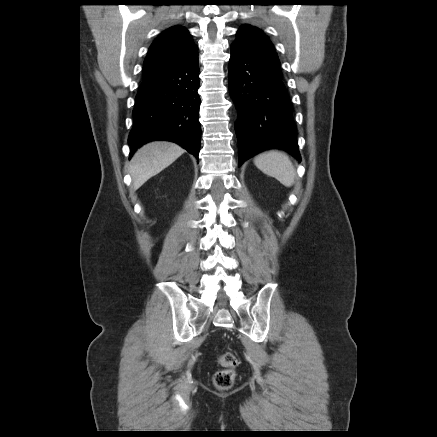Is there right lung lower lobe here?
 I'll use <instances>...</instances> for the list:
<instances>
[{
  "mask_svg": "<svg viewBox=\"0 0 437 437\" xmlns=\"http://www.w3.org/2000/svg\"><path fill=\"white\" fill-rule=\"evenodd\" d=\"M198 88V54L144 79L133 109L130 155L149 141L168 140L197 158L201 136Z\"/></svg>",
  "mask_w": 437,
  "mask_h": 437,
  "instance_id": "obj_1",
  "label": "right lung lower lobe"
}]
</instances>
